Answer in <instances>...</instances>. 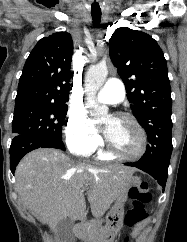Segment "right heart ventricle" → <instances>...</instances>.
Segmentation results:
<instances>
[{"mask_svg": "<svg viewBox=\"0 0 187 242\" xmlns=\"http://www.w3.org/2000/svg\"><path fill=\"white\" fill-rule=\"evenodd\" d=\"M99 158L102 159V160H110V159H112V157L109 156L108 154H106L105 152H100L99 153Z\"/></svg>", "mask_w": 187, "mask_h": 242, "instance_id": "1", "label": "right heart ventricle"}]
</instances>
